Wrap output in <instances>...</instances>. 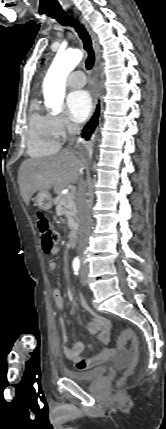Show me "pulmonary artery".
Listing matches in <instances>:
<instances>
[{"instance_id": "1", "label": "pulmonary artery", "mask_w": 166, "mask_h": 429, "mask_svg": "<svg viewBox=\"0 0 166 429\" xmlns=\"http://www.w3.org/2000/svg\"><path fill=\"white\" fill-rule=\"evenodd\" d=\"M67 83L73 88L81 87L86 83V76L82 71H74L69 75Z\"/></svg>"}]
</instances>
